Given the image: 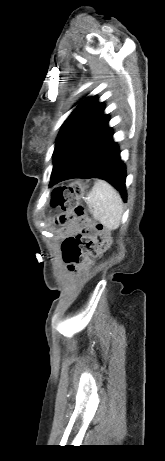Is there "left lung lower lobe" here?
Returning a JSON list of instances; mask_svg holds the SVG:
<instances>
[{
	"label": "left lung lower lobe",
	"mask_w": 165,
	"mask_h": 461,
	"mask_svg": "<svg viewBox=\"0 0 165 461\" xmlns=\"http://www.w3.org/2000/svg\"><path fill=\"white\" fill-rule=\"evenodd\" d=\"M103 115L68 152L51 175L49 186L71 178H100L113 185L126 201V167Z\"/></svg>",
	"instance_id": "left-lung-lower-lobe-1"
}]
</instances>
